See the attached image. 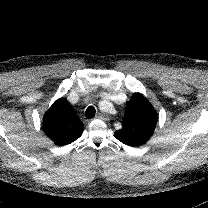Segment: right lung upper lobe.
Instances as JSON below:
<instances>
[{"label": "right lung upper lobe", "instance_id": "obj_1", "mask_svg": "<svg viewBox=\"0 0 208 208\" xmlns=\"http://www.w3.org/2000/svg\"><path fill=\"white\" fill-rule=\"evenodd\" d=\"M43 130L56 145L64 146L77 140L84 126L70 103L60 98L45 113Z\"/></svg>", "mask_w": 208, "mask_h": 208}]
</instances>
